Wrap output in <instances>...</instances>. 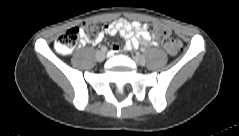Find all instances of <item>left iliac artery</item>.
<instances>
[{
	"label": "left iliac artery",
	"mask_w": 239,
	"mask_h": 136,
	"mask_svg": "<svg viewBox=\"0 0 239 136\" xmlns=\"http://www.w3.org/2000/svg\"><path fill=\"white\" fill-rule=\"evenodd\" d=\"M141 51H142V52H145V51H146V48H141Z\"/></svg>",
	"instance_id": "44dca946"
}]
</instances>
